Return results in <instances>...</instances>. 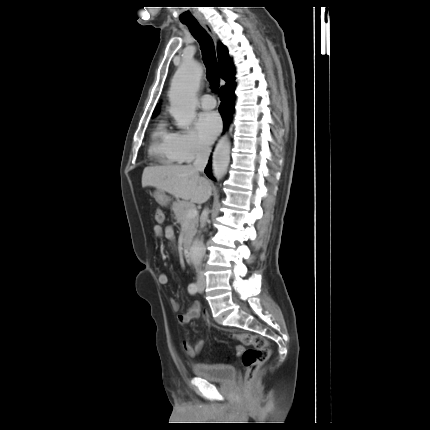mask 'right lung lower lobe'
Returning <instances> with one entry per match:
<instances>
[{
    "label": "right lung lower lobe",
    "instance_id": "obj_1",
    "mask_svg": "<svg viewBox=\"0 0 430 430\" xmlns=\"http://www.w3.org/2000/svg\"><path fill=\"white\" fill-rule=\"evenodd\" d=\"M234 88L235 85L229 86L223 90H221V105L219 107V111L221 112L224 129H226L232 119L233 111H234ZM205 173L209 178L212 179L211 176V161H209Z\"/></svg>",
    "mask_w": 430,
    "mask_h": 430
}]
</instances>
